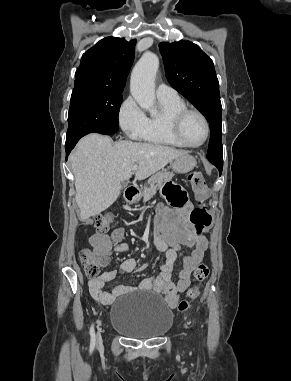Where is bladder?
I'll list each match as a JSON object with an SVG mask.
<instances>
[{
  "label": "bladder",
  "instance_id": "31cf9c89",
  "mask_svg": "<svg viewBox=\"0 0 291 381\" xmlns=\"http://www.w3.org/2000/svg\"><path fill=\"white\" fill-rule=\"evenodd\" d=\"M173 322V311L157 296L127 294L116 300L110 309L112 329L130 338L164 336Z\"/></svg>",
  "mask_w": 291,
  "mask_h": 381
}]
</instances>
